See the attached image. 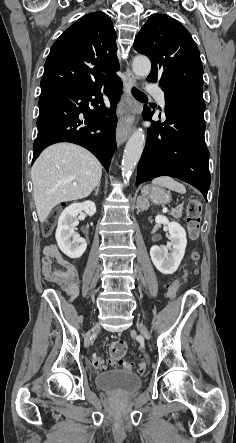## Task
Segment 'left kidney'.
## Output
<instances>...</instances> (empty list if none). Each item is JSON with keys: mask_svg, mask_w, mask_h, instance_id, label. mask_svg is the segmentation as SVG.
Instances as JSON below:
<instances>
[{"mask_svg": "<svg viewBox=\"0 0 236 443\" xmlns=\"http://www.w3.org/2000/svg\"><path fill=\"white\" fill-rule=\"evenodd\" d=\"M157 224L168 226L169 231V248L154 245L150 249V256L155 267L163 274H173L179 267L187 246V238L185 229L177 222H169L162 215L155 217ZM170 249V253L168 252Z\"/></svg>", "mask_w": 236, "mask_h": 443, "instance_id": "left-kidney-1", "label": "left kidney"}]
</instances>
